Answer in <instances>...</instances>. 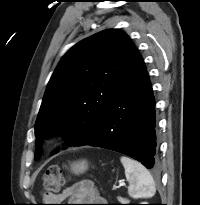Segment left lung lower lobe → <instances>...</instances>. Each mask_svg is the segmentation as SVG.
Listing matches in <instances>:
<instances>
[{
  "instance_id": "left-lung-lower-lobe-1",
  "label": "left lung lower lobe",
  "mask_w": 200,
  "mask_h": 205,
  "mask_svg": "<svg viewBox=\"0 0 200 205\" xmlns=\"http://www.w3.org/2000/svg\"><path fill=\"white\" fill-rule=\"evenodd\" d=\"M82 145L114 150L148 169L157 166L155 101L144 61L136 49L99 127Z\"/></svg>"
}]
</instances>
